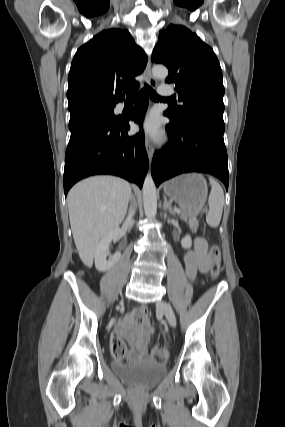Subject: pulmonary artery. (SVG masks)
<instances>
[{"label": "pulmonary artery", "mask_w": 285, "mask_h": 427, "mask_svg": "<svg viewBox=\"0 0 285 427\" xmlns=\"http://www.w3.org/2000/svg\"><path fill=\"white\" fill-rule=\"evenodd\" d=\"M159 94H160V96H162V97H171V96H173L174 95V89H173V87L172 86H170V85H162L160 88H159ZM124 108V105H120L119 106V109L120 110H122Z\"/></svg>", "instance_id": "e3ab8cb5"}]
</instances>
